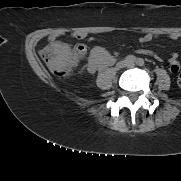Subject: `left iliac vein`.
<instances>
[{
    "label": "left iliac vein",
    "mask_w": 181,
    "mask_h": 181,
    "mask_svg": "<svg viewBox=\"0 0 181 181\" xmlns=\"http://www.w3.org/2000/svg\"><path fill=\"white\" fill-rule=\"evenodd\" d=\"M128 67H134V63L127 64Z\"/></svg>",
    "instance_id": "1"
}]
</instances>
